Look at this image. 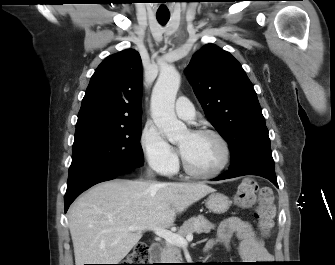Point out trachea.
Listing matches in <instances>:
<instances>
[{"label":"trachea","instance_id":"1","mask_svg":"<svg viewBox=\"0 0 335 265\" xmlns=\"http://www.w3.org/2000/svg\"><path fill=\"white\" fill-rule=\"evenodd\" d=\"M156 17L160 24L165 25L170 18V14H156Z\"/></svg>","mask_w":335,"mask_h":265}]
</instances>
